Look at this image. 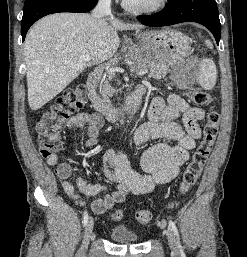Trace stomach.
Listing matches in <instances>:
<instances>
[{
  "label": "stomach",
  "instance_id": "stomach-1",
  "mask_svg": "<svg viewBox=\"0 0 247 257\" xmlns=\"http://www.w3.org/2000/svg\"><path fill=\"white\" fill-rule=\"evenodd\" d=\"M138 43L135 45L142 63H167L171 66L182 62L190 55L188 38L174 30H153L136 34Z\"/></svg>",
  "mask_w": 247,
  "mask_h": 257
}]
</instances>
